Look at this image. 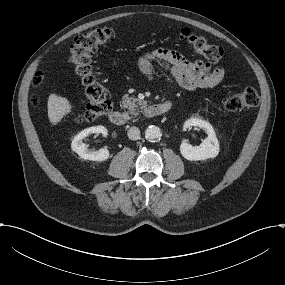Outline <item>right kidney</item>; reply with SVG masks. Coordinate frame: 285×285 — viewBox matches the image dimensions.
<instances>
[{"label": "right kidney", "mask_w": 285, "mask_h": 285, "mask_svg": "<svg viewBox=\"0 0 285 285\" xmlns=\"http://www.w3.org/2000/svg\"><path fill=\"white\" fill-rule=\"evenodd\" d=\"M91 133H101L104 137L108 135V130L104 126H94L82 130L78 133L71 143V148L81 158L92 161H104L109 158V151L107 148H102L98 151L88 149V146L83 143V139Z\"/></svg>", "instance_id": "ca27d5eb"}]
</instances>
